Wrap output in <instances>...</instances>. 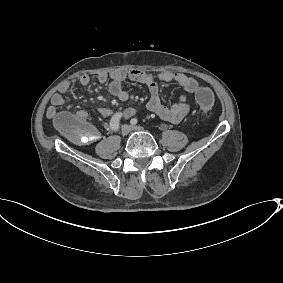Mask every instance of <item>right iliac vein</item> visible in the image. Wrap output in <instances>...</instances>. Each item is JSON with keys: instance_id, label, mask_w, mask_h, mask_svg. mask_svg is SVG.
<instances>
[{"instance_id": "1", "label": "right iliac vein", "mask_w": 283, "mask_h": 283, "mask_svg": "<svg viewBox=\"0 0 283 283\" xmlns=\"http://www.w3.org/2000/svg\"><path fill=\"white\" fill-rule=\"evenodd\" d=\"M130 130H131L130 126L127 125V124H125V125H123L122 128H121V134H122L123 136H127V135L130 133Z\"/></svg>"}]
</instances>
